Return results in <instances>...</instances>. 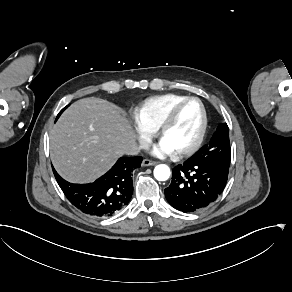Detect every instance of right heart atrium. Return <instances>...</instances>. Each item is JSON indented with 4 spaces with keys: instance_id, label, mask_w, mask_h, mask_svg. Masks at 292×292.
<instances>
[{
    "instance_id": "obj_1",
    "label": "right heart atrium",
    "mask_w": 292,
    "mask_h": 292,
    "mask_svg": "<svg viewBox=\"0 0 292 292\" xmlns=\"http://www.w3.org/2000/svg\"><path fill=\"white\" fill-rule=\"evenodd\" d=\"M133 118V117H132ZM134 119V118H133ZM140 126V125H139ZM141 127V130H142V133H143V144L145 143V141H146V138H147V136H148V133H149V130L148 129H146V128H144V127H142V126H140ZM142 144V145H143Z\"/></svg>"
}]
</instances>
